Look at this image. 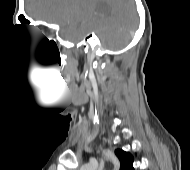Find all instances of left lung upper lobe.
I'll return each instance as SVG.
<instances>
[{"mask_svg":"<svg viewBox=\"0 0 190 170\" xmlns=\"http://www.w3.org/2000/svg\"><path fill=\"white\" fill-rule=\"evenodd\" d=\"M115 154L120 160V170H134L133 157L130 153L117 149Z\"/></svg>","mask_w":190,"mask_h":170,"instance_id":"left-lung-upper-lobe-1","label":"left lung upper lobe"}]
</instances>
